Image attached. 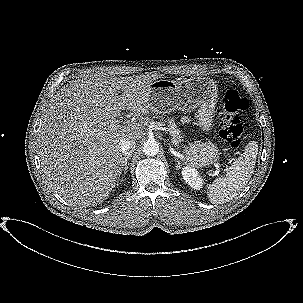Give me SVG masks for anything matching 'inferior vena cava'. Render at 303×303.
<instances>
[{"label":"inferior vena cava","instance_id":"inferior-vena-cava-1","mask_svg":"<svg viewBox=\"0 0 303 303\" xmlns=\"http://www.w3.org/2000/svg\"><path fill=\"white\" fill-rule=\"evenodd\" d=\"M135 144H136L135 141L130 140L128 138L121 139L120 140V148H121L122 153L125 156L131 155L134 148H135Z\"/></svg>","mask_w":303,"mask_h":303}]
</instances>
